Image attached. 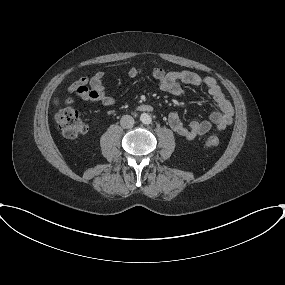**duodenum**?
Returning <instances> with one entry per match:
<instances>
[{
	"instance_id": "1",
	"label": "duodenum",
	"mask_w": 285,
	"mask_h": 285,
	"mask_svg": "<svg viewBox=\"0 0 285 285\" xmlns=\"http://www.w3.org/2000/svg\"><path fill=\"white\" fill-rule=\"evenodd\" d=\"M141 109L143 111H150L151 110V107L150 106H142Z\"/></svg>"
}]
</instances>
